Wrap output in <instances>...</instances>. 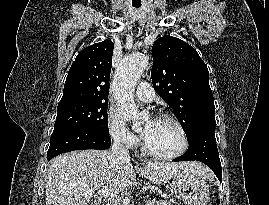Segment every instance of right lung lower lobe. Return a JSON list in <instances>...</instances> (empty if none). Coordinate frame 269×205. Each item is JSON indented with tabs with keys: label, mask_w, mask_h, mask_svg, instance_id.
<instances>
[{
	"label": "right lung lower lobe",
	"mask_w": 269,
	"mask_h": 205,
	"mask_svg": "<svg viewBox=\"0 0 269 205\" xmlns=\"http://www.w3.org/2000/svg\"><path fill=\"white\" fill-rule=\"evenodd\" d=\"M111 145L109 135L78 127L54 129L47 159L73 150L80 149H108Z\"/></svg>",
	"instance_id": "1"
}]
</instances>
